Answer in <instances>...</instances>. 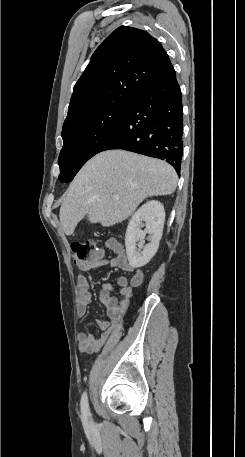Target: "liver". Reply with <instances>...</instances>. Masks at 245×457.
<instances>
[{
  "instance_id": "liver-1",
  "label": "liver",
  "mask_w": 245,
  "mask_h": 457,
  "mask_svg": "<svg viewBox=\"0 0 245 457\" xmlns=\"http://www.w3.org/2000/svg\"><path fill=\"white\" fill-rule=\"evenodd\" d=\"M178 176L171 164L128 150H104L90 158L70 186L60 208L65 235H73L79 220L112 226L128 218L147 196L171 194ZM119 200H113V196Z\"/></svg>"
}]
</instances>
